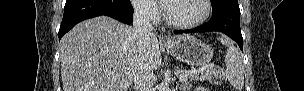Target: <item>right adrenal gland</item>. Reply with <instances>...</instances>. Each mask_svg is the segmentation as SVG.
<instances>
[{
  "label": "right adrenal gland",
  "mask_w": 304,
  "mask_h": 91,
  "mask_svg": "<svg viewBox=\"0 0 304 91\" xmlns=\"http://www.w3.org/2000/svg\"><path fill=\"white\" fill-rule=\"evenodd\" d=\"M129 88L134 89V86H131V87H129Z\"/></svg>",
  "instance_id": "obj_1"
}]
</instances>
